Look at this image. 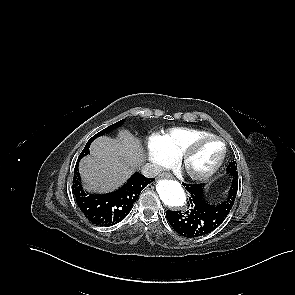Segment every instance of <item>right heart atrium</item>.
<instances>
[{
  "mask_svg": "<svg viewBox=\"0 0 295 295\" xmlns=\"http://www.w3.org/2000/svg\"><path fill=\"white\" fill-rule=\"evenodd\" d=\"M148 159L156 171L170 166L175 158L171 156L162 146L158 135H152L147 140Z\"/></svg>",
  "mask_w": 295,
  "mask_h": 295,
  "instance_id": "d8ad5b80",
  "label": "right heart atrium"
}]
</instances>
